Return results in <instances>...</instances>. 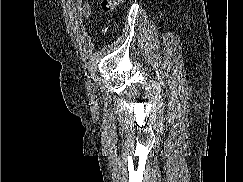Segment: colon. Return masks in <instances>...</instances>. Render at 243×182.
<instances>
[{
    "instance_id": "1",
    "label": "colon",
    "mask_w": 243,
    "mask_h": 182,
    "mask_svg": "<svg viewBox=\"0 0 243 182\" xmlns=\"http://www.w3.org/2000/svg\"><path fill=\"white\" fill-rule=\"evenodd\" d=\"M123 2H124V0H101L100 1V7H101L102 11L107 15L108 23H111L112 13ZM101 31L103 34H107L109 31L108 24L103 25L101 28Z\"/></svg>"
}]
</instances>
